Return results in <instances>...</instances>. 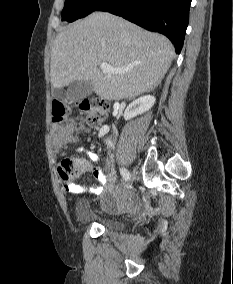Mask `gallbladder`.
<instances>
[{
  "mask_svg": "<svg viewBox=\"0 0 233 284\" xmlns=\"http://www.w3.org/2000/svg\"><path fill=\"white\" fill-rule=\"evenodd\" d=\"M93 92V83L90 80L73 81L67 90L56 89L54 96L58 99H67L70 102L77 101L89 96Z\"/></svg>",
  "mask_w": 233,
  "mask_h": 284,
  "instance_id": "bac80fb5",
  "label": "gallbladder"
}]
</instances>
